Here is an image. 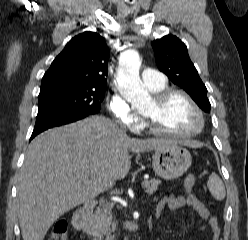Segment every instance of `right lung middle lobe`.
<instances>
[{"mask_svg":"<svg viewBox=\"0 0 248 240\" xmlns=\"http://www.w3.org/2000/svg\"><path fill=\"white\" fill-rule=\"evenodd\" d=\"M106 89H64L38 97V113L97 114Z\"/></svg>","mask_w":248,"mask_h":240,"instance_id":"1","label":"right lung middle lobe"}]
</instances>
